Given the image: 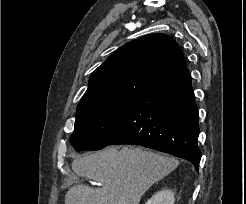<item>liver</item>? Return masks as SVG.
I'll list each match as a JSON object with an SVG mask.
<instances>
[{
	"label": "liver",
	"instance_id": "1",
	"mask_svg": "<svg viewBox=\"0 0 246 204\" xmlns=\"http://www.w3.org/2000/svg\"><path fill=\"white\" fill-rule=\"evenodd\" d=\"M178 165L173 157L139 147H108L72 162L78 176L105 185H74L65 195V204H139L143 194Z\"/></svg>",
	"mask_w": 246,
	"mask_h": 204
}]
</instances>
